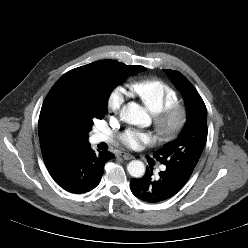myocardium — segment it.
Here are the masks:
<instances>
[{
    "label": "myocardium",
    "mask_w": 248,
    "mask_h": 248,
    "mask_svg": "<svg viewBox=\"0 0 248 248\" xmlns=\"http://www.w3.org/2000/svg\"><path fill=\"white\" fill-rule=\"evenodd\" d=\"M154 115L157 133L164 141L175 139L183 131L188 116L186 108L178 102Z\"/></svg>",
    "instance_id": "f54148a6"
}]
</instances>
